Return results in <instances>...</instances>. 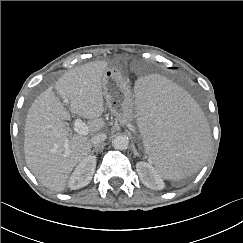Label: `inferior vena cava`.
Returning a JSON list of instances; mask_svg holds the SVG:
<instances>
[{
  "label": "inferior vena cava",
  "mask_w": 243,
  "mask_h": 243,
  "mask_svg": "<svg viewBox=\"0 0 243 243\" xmlns=\"http://www.w3.org/2000/svg\"><path fill=\"white\" fill-rule=\"evenodd\" d=\"M107 135L105 133H98L91 138V144L95 147L99 146L103 141H105Z\"/></svg>",
  "instance_id": "obj_1"
}]
</instances>
